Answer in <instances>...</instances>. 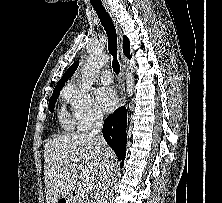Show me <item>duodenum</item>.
<instances>
[{
	"label": "duodenum",
	"mask_w": 222,
	"mask_h": 203,
	"mask_svg": "<svg viewBox=\"0 0 222 203\" xmlns=\"http://www.w3.org/2000/svg\"><path fill=\"white\" fill-rule=\"evenodd\" d=\"M80 196V192L79 190L77 189H72L70 192H69V195H68V199L69 201H76ZM62 203H66V200H63Z\"/></svg>",
	"instance_id": "1"
}]
</instances>
